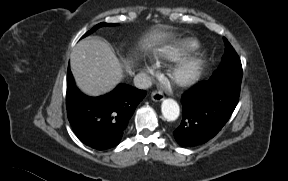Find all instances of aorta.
<instances>
[{
	"instance_id": "obj_1",
	"label": "aorta",
	"mask_w": 288,
	"mask_h": 181,
	"mask_svg": "<svg viewBox=\"0 0 288 181\" xmlns=\"http://www.w3.org/2000/svg\"><path fill=\"white\" fill-rule=\"evenodd\" d=\"M161 111L164 118L168 121H175L180 114L178 103L173 99H165L161 105Z\"/></svg>"
}]
</instances>
